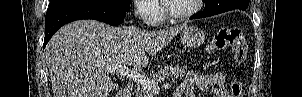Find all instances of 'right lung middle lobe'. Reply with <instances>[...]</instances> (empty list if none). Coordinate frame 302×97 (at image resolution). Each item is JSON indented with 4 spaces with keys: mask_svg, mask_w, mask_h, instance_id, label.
I'll list each match as a JSON object with an SVG mask.
<instances>
[{
    "mask_svg": "<svg viewBox=\"0 0 302 97\" xmlns=\"http://www.w3.org/2000/svg\"><path fill=\"white\" fill-rule=\"evenodd\" d=\"M50 6L57 4H64L68 2L80 1V0H50ZM103 2L110 3L112 5L117 6L118 8L124 9L125 11H129L130 8V0H99Z\"/></svg>",
    "mask_w": 302,
    "mask_h": 97,
    "instance_id": "obj_1",
    "label": "right lung middle lobe"
}]
</instances>
